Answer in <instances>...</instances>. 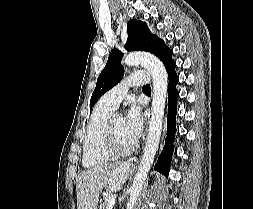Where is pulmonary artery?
Masks as SVG:
<instances>
[{
    "label": "pulmonary artery",
    "mask_w": 253,
    "mask_h": 209,
    "mask_svg": "<svg viewBox=\"0 0 253 209\" xmlns=\"http://www.w3.org/2000/svg\"><path fill=\"white\" fill-rule=\"evenodd\" d=\"M150 76L146 71H134L121 83L103 95L101 100L108 106L116 109L130 87H139L147 84Z\"/></svg>",
    "instance_id": "e3ab8cb5"
}]
</instances>
